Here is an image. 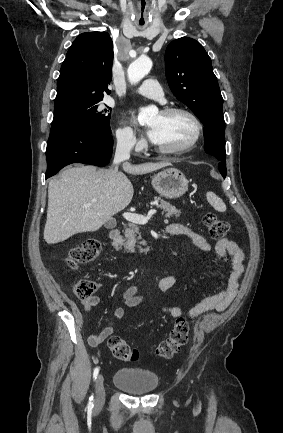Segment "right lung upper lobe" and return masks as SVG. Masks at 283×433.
<instances>
[{
	"label": "right lung upper lobe",
	"instance_id": "right-lung-upper-lobe-1",
	"mask_svg": "<svg viewBox=\"0 0 283 433\" xmlns=\"http://www.w3.org/2000/svg\"><path fill=\"white\" fill-rule=\"evenodd\" d=\"M113 42L106 32L80 34L72 43L57 83L54 112L103 100L110 94Z\"/></svg>",
	"mask_w": 283,
	"mask_h": 433
}]
</instances>
